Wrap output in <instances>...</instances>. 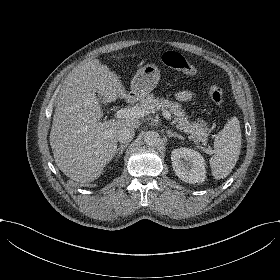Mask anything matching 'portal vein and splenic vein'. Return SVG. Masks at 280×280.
<instances>
[{
    "mask_svg": "<svg viewBox=\"0 0 280 280\" xmlns=\"http://www.w3.org/2000/svg\"><path fill=\"white\" fill-rule=\"evenodd\" d=\"M145 112L148 114L149 112L140 109L139 107H130V108H121L116 112L117 118H129V119H140L145 116ZM162 115L166 119H171V113L167 110H163ZM203 151L207 154L215 153L214 150L203 148Z\"/></svg>",
    "mask_w": 280,
    "mask_h": 280,
    "instance_id": "1",
    "label": "portal vein and splenic vein"
}]
</instances>
